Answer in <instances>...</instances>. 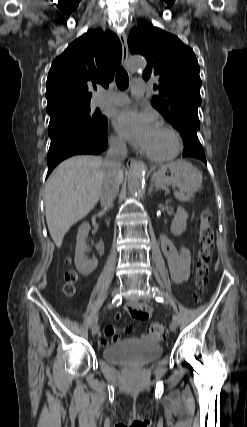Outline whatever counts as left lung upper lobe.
<instances>
[{"instance_id": "5c2ea615", "label": "left lung upper lobe", "mask_w": 247, "mask_h": 427, "mask_svg": "<svg viewBox=\"0 0 247 427\" xmlns=\"http://www.w3.org/2000/svg\"><path fill=\"white\" fill-rule=\"evenodd\" d=\"M132 54L147 60L143 78H157L152 105L179 131L200 128L198 106L201 104L199 65L193 50L182 41L148 23H140L128 37Z\"/></svg>"}]
</instances>
